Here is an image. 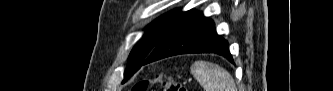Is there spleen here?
I'll use <instances>...</instances> for the list:
<instances>
[{
  "instance_id": "obj_1",
  "label": "spleen",
  "mask_w": 333,
  "mask_h": 91,
  "mask_svg": "<svg viewBox=\"0 0 333 91\" xmlns=\"http://www.w3.org/2000/svg\"><path fill=\"white\" fill-rule=\"evenodd\" d=\"M191 73L205 91H236L233 77L218 64L199 60L192 64Z\"/></svg>"
}]
</instances>
